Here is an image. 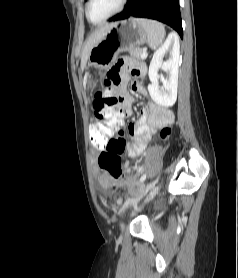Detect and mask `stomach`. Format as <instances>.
Masks as SVG:
<instances>
[{
    "instance_id": "0dacf381",
    "label": "stomach",
    "mask_w": 238,
    "mask_h": 278,
    "mask_svg": "<svg viewBox=\"0 0 238 278\" xmlns=\"http://www.w3.org/2000/svg\"><path fill=\"white\" fill-rule=\"evenodd\" d=\"M147 32L138 19L130 18L118 21L96 43L89 55L90 63L99 70H106L117 59L119 52L130 47H138L146 42ZM85 85L95 89L97 80L91 76L85 79Z\"/></svg>"
}]
</instances>
